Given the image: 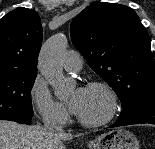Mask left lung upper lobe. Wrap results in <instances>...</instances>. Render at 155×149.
<instances>
[{"label":"left lung upper lobe","mask_w":155,"mask_h":149,"mask_svg":"<svg viewBox=\"0 0 155 149\" xmlns=\"http://www.w3.org/2000/svg\"><path fill=\"white\" fill-rule=\"evenodd\" d=\"M70 33L88 65L118 94L123 110L155 94L150 38L133 9L93 3L73 19Z\"/></svg>","instance_id":"1"}]
</instances>
